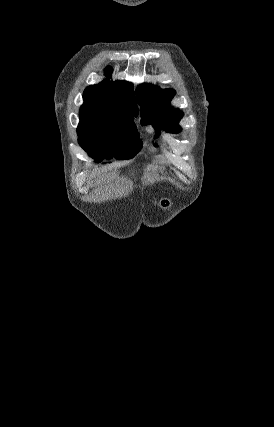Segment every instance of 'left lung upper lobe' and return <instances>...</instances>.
<instances>
[{
  "label": "left lung upper lobe",
  "mask_w": 274,
  "mask_h": 427,
  "mask_svg": "<svg viewBox=\"0 0 274 427\" xmlns=\"http://www.w3.org/2000/svg\"><path fill=\"white\" fill-rule=\"evenodd\" d=\"M136 93L143 125L153 124L156 130L162 128L170 133L181 130L178 121L182 118L183 112L169 106L171 98L175 95L173 89L160 90L152 84H142L138 86Z\"/></svg>",
  "instance_id": "left-lung-upper-lobe-1"
}]
</instances>
